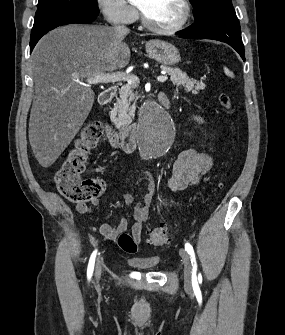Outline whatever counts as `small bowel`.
<instances>
[{
    "label": "small bowel",
    "instance_id": "c3829d8e",
    "mask_svg": "<svg viewBox=\"0 0 285 335\" xmlns=\"http://www.w3.org/2000/svg\"><path fill=\"white\" fill-rule=\"evenodd\" d=\"M165 98H162V100ZM201 121L200 117H196ZM212 157L203 151L189 148L177 156L172 166L171 177L167 182V188L171 191L178 192L189 186L196 184L202 175H204L212 166ZM137 183L142 185V191L139 194V200L132 209V235L139 242L142 238L143 225L149 217L150 207L157 193V184L151 175L140 174ZM122 200L125 204L130 205L134 202V196L130 193H124ZM92 206L98 205V200L91 201ZM76 209L81 214L91 213V207L87 204H77ZM128 228V220L121 218L117 225L112 226L104 223L99 228V233L106 240L113 241Z\"/></svg>",
    "mask_w": 285,
    "mask_h": 335
}]
</instances>
